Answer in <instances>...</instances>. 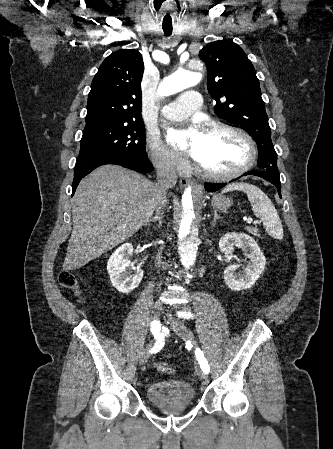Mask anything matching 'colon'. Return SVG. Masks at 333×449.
Masks as SVG:
<instances>
[{
	"label": "colon",
	"instance_id": "5ec220e1",
	"mask_svg": "<svg viewBox=\"0 0 333 449\" xmlns=\"http://www.w3.org/2000/svg\"><path fill=\"white\" fill-rule=\"evenodd\" d=\"M58 280H59V283L63 287L69 288V289H75L78 291V287H79L78 278L71 271L63 270L62 272H60ZM155 368L159 373L166 374V375L172 374L174 372L173 367L165 362L156 363Z\"/></svg>",
	"mask_w": 333,
	"mask_h": 449
}]
</instances>
